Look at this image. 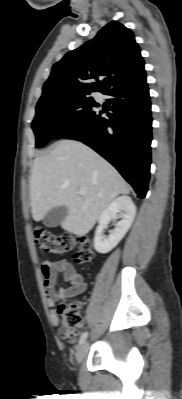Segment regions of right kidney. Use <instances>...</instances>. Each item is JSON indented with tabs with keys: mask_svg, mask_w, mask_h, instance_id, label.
Returning <instances> with one entry per match:
<instances>
[{
	"mask_svg": "<svg viewBox=\"0 0 182 399\" xmlns=\"http://www.w3.org/2000/svg\"><path fill=\"white\" fill-rule=\"evenodd\" d=\"M121 212V221L117 222L114 230L108 236L104 235L111 219L117 218V213ZM136 215V207L131 198L123 195L114 199L100 214L99 225L95 231L94 248L97 252L105 254L110 252L123 239L131 227Z\"/></svg>",
	"mask_w": 182,
	"mask_h": 399,
	"instance_id": "obj_1",
	"label": "right kidney"
}]
</instances>
